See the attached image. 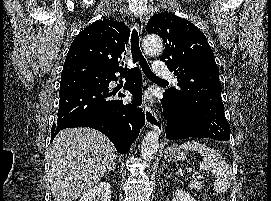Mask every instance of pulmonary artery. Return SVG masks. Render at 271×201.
I'll use <instances>...</instances> for the list:
<instances>
[{"mask_svg": "<svg viewBox=\"0 0 271 201\" xmlns=\"http://www.w3.org/2000/svg\"><path fill=\"white\" fill-rule=\"evenodd\" d=\"M153 71L158 76L167 77L170 78L173 82H176V78L173 76L164 61H155L153 65Z\"/></svg>", "mask_w": 271, "mask_h": 201, "instance_id": "pulmonary-artery-1", "label": "pulmonary artery"}]
</instances>
